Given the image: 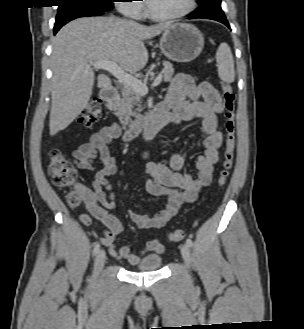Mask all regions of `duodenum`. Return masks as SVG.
<instances>
[{"instance_id": "410a0bca", "label": "duodenum", "mask_w": 304, "mask_h": 329, "mask_svg": "<svg viewBox=\"0 0 304 329\" xmlns=\"http://www.w3.org/2000/svg\"><path fill=\"white\" fill-rule=\"evenodd\" d=\"M100 98L105 102L106 110L112 112L117 99V90L114 87H106L100 92ZM170 122H172V116L165 105L160 103L148 115L130 121L124 138L129 141L138 135H143L149 139Z\"/></svg>"}]
</instances>
